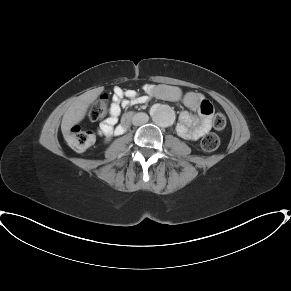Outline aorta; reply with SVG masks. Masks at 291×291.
I'll list each match as a JSON object with an SVG mask.
<instances>
[{
  "label": "aorta",
  "mask_w": 291,
  "mask_h": 291,
  "mask_svg": "<svg viewBox=\"0 0 291 291\" xmlns=\"http://www.w3.org/2000/svg\"><path fill=\"white\" fill-rule=\"evenodd\" d=\"M151 116L155 124L161 127H168L173 124L174 111L166 105H156L151 109Z\"/></svg>",
  "instance_id": "aorta-1"
}]
</instances>
